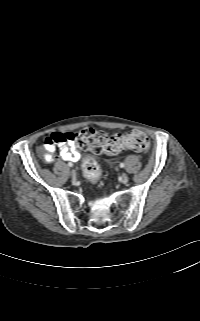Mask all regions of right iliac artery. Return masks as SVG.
<instances>
[{
    "instance_id": "1",
    "label": "right iliac artery",
    "mask_w": 200,
    "mask_h": 321,
    "mask_svg": "<svg viewBox=\"0 0 200 321\" xmlns=\"http://www.w3.org/2000/svg\"><path fill=\"white\" fill-rule=\"evenodd\" d=\"M68 166H69V167H72V166H73V164H72L71 162H69V163H68Z\"/></svg>"
}]
</instances>
